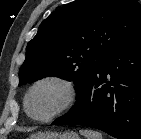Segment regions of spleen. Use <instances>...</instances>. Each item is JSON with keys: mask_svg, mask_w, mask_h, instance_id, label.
Here are the masks:
<instances>
[{"mask_svg": "<svg viewBox=\"0 0 141 139\" xmlns=\"http://www.w3.org/2000/svg\"><path fill=\"white\" fill-rule=\"evenodd\" d=\"M80 133L86 138V139H102V134L97 131L93 130H81Z\"/></svg>", "mask_w": 141, "mask_h": 139, "instance_id": "3e777b00", "label": "spleen"}]
</instances>
